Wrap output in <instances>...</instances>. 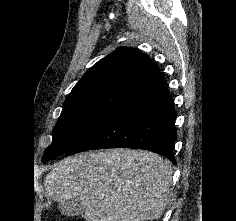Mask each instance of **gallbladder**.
Returning a JSON list of instances; mask_svg holds the SVG:
<instances>
[{
  "label": "gallbladder",
  "mask_w": 236,
  "mask_h": 221,
  "mask_svg": "<svg viewBox=\"0 0 236 221\" xmlns=\"http://www.w3.org/2000/svg\"><path fill=\"white\" fill-rule=\"evenodd\" d=\"M79 201L77 199L60 202L58 208L63 215L76 216L79 215Z\"/></svg>",
  "instance_id": "bac80fb5"
}]
</instances>
